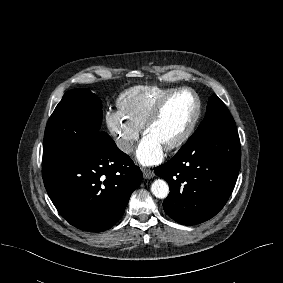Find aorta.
Masks as SVG:
<instances>
[{
  "label": "aorta",
  "instance_id": "762f6f07",
  "mask_svg": "<svg viewBox=\"0 0 283 283\" xmlns=\"http://www.w3.org/2000/svg\"><path fill=\"white\" fill-rule=\"evenodd\" d=\"M151 191L155 197L164 199L169 194V186L166 181L157 179L152 183Z\"/></svg>",
  "mask_w": 283,
  "mask_h": 283
}]
</instances>
